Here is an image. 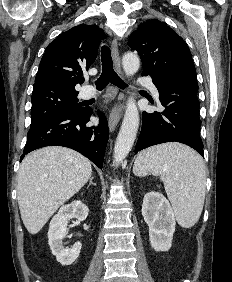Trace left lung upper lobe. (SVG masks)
<instances>
[{
	"instance_id": "left-lung-upper-lobe-1",
	"label": "left lung upper lobe",
	"mask_w": 232,
	"mask_h": 282,
	"mask_svg": "<svg viewBox=\"0 0 232 282\" xmlns=\"http://www.w3.org/2000/svg\"><path fill=\"white\" fill-rule=\"evenodd\" d=\"M128 45L140 55L142 75H149L154 80L197 83L188 46L165 23L156 19L141 23L130 35Z\"/></svg>"
}]
</instances>
